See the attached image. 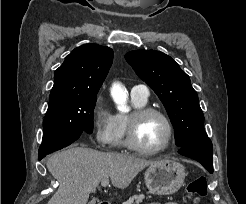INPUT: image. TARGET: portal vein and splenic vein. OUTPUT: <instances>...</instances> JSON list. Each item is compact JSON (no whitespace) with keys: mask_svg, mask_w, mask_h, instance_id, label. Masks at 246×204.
Instances as JSON below:
<instances>
[{"mask_svg":"<svg viewBox=\"0 0 246 204\" xmlns=\"http://www.w3.org/2000/svg\"><path fill=\"white\" fill-rule=\"evenodd\" d=\"M108 185H109V179H103V180L101 181V186L106 187V186H108Z\"/></svg>","mask_w":246,"mask_h":204,"instance_id":"obj_1","label":"portal vein and splenic vein"}]
</instances>
